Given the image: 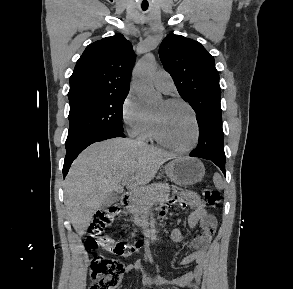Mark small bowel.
Masks as SVG:
<instances>
[{"instance_id":"obj_1","label":"small bowel","mask_w":293,"mask_h":289,"mask_svg":"<svg viewBox=\"0 0 293 289\" xmlns=\"http://www.w3.org/2000/svg\"><path fill=\"white\" fill-rule=\"evenodd\" d=\"M183 204L193 208V212L188 218V226L190 229L197 225L201 227V234L188 243L190 253L186 255L182 261V265L195 264L192 271L177 277L175 279H165L154 274H147L146 285L149 288L155 286L182 287L189 289H200L202 283L203 267L206 259V252L212 237L216 230V218L207 212L205 203L194 193H185L183 196ZM171 238L174 242H183L184 238L179 229L171 232ZM137 269L144 270L145 267L140 262H134L127 266V272Z\"/></svg>"}]
</instances>
